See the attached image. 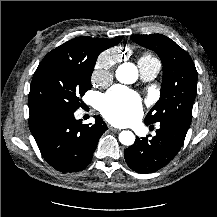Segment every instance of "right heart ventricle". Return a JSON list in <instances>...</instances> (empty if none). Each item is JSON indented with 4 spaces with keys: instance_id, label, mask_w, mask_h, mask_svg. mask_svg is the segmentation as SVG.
Returning <instances> with one entry per match:
<instances>
[{
    "instance_id": "e07e8e85",
    "label": "right heart ventricle",
    "mask_w": 217,
    "mask_h": 217,
    "mask_svg": "<svg viewBox=\"0 0 217 217\" xmlns=\"http://www.w3.org/2000/svg\"><path fill=\"white\" fill-rule=\"evenodd\" d=\"M149 61H157L151 54H143L140 58L138 63L140 62H149Z\"/></svg>"
}]
</instances>
